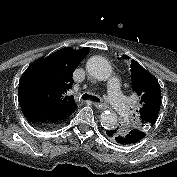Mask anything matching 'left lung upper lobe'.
Segmentation results:
<instances>
[{"instance_id": "obj_1", "label": "left lung upper lobe", "mask_w": 177, "mask_h": 177, "mask_svg": "<svg viewBox=\"0 0 177 177\" xmlns=\"http://www.w3.org/2000/svg\"><path fill=\"white\" fill-rule=\"evenodd\" d=\"M131 77L133 90L139 98V110H136L138 113L132 125L118 128L117 134L125 133L130 128L148 132L154 126L160 111L161 91L155 77L135 60H131Z\"/></svg>"}]
</instances>
